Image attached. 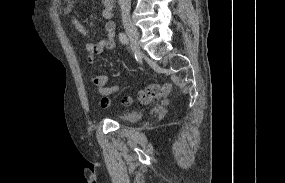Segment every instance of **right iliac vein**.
<instances>
[{"label": "right iliac vein", "mask_w": 285, "mask_h": 183, "mask_svg": "<svg viewBox=\"0 0 285 183\" xmlns=\"http://www.w3.org/2000/svg\"><path fill=\"white\" fill-rule=\"evenodd\" d=\"M124 29L126 33L128 34L132 46L134 48V51L139 54V31L137 27L134 25V23L129 19H124L123 21Z\"/></svg>", "instance_id": "63e3f726"}]
</instances>
